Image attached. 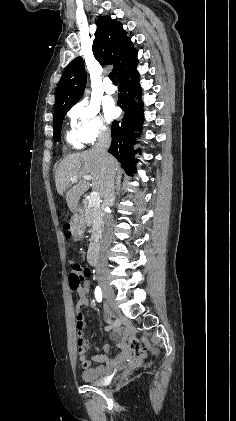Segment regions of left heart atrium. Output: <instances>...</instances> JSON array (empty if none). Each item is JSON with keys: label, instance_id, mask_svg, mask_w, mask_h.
Masks as SVG:
<instances>
[{"label": "left heart atrium", "instance_id": "1", "mask_svg": "<svg viewBox=\"0 0 236 421\" xmlns=\"http://www.w3.org/2000/svg\"><path fill=\"white\" fill-rule=\"evenodd\" d=\"M105 111L109 118H116L119 115V110L112 100L105 103Z\"/></svg>", "mask_w": 236, "mask_h": 421}]
</instances>
